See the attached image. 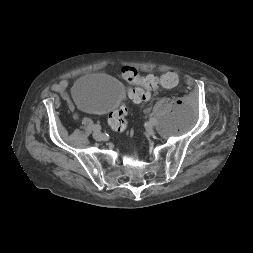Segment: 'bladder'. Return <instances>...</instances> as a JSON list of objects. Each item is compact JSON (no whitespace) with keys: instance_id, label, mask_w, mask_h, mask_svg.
<instances>
[{"instance_id":"obj_1","label":"bladder","mask_w":253,"mask_h":253,"mask_svg":"<svg viewBox=\"0 0 253 253\" xmlns=\"http://www.w3.org/2000/svg\"><path fill=\"white\" fill-rule=\"evenodd\" d=\"M71 93L81 108L103 114L120 105L125 88L121 82L106 74L91 73L80 77L73 85Z\"/></svg>"}]
</instances>
